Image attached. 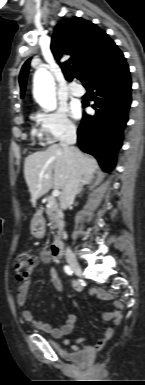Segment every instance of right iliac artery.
<instances>
[{
  "label": "right iliac artery",
  "instance_id": "obj_1",
  "mask_svg": "<svg viewBox=\"0 0 145 385\" xmlns=\"http://www.w3.org/2000/svg\"><path fill=\"white\" fill-rule=\"evenodd\" d=\"M64 271L68 274V275H72L73 274V271L71 270V268L69 266H64Z\"/></svg>",
  "mask_w": 145,
  "mask_h": 385
}]
</instances>
